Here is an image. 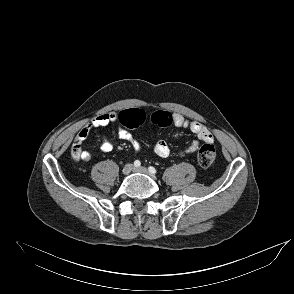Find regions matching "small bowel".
Listing matches in <instances>:
<instances>
[{
    "label": "small bowel",
    "instance_id": "c3829d8e",
    "mask_svg": "<svg viewBox=\"0 0 294 294\" xmlns=\"http://www.w3.org/2000/svg\"><path fill=\"white\" fill-rule=\"evenodd\" d=\"M119 121V114L116 112H108L101 114L90 121L79 133L78 137L81 141L85 140L92 128L97 127H106L113 123ZM173 124L179 129H189L197 136V140L192 141L187 147L182 149L179 154L181 156L192 154L199 149L200 142L212 143L213 136L209 129L198 121L187 120L183 115L179 113L173 114ZM118 137L124 141L129 142L136 150H140L142 145L138 139H136L126 128L120 127L118 130ZM175 137L178 139L180 137L179 132L175 134ZM100 149L103 152H110L113 149L112 143L105 137L100 138ZM154 152L163 158H166L170 155V147L168 143L164 140H158L154 144ZM92 156L90 152L84 151L81 153V159L89 162Z\"/></svg>",
    "mask_w": 294,
    "mask_h": 294
}]
</instances>
